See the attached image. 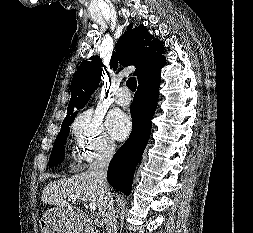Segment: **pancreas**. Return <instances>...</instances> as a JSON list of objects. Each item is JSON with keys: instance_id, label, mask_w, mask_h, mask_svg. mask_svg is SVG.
<instances>
[{"instance_id": "cf45deb5", "label": "pancreas", "mask_w": 253, "mask_h": 233, "mask_svg": "<svg viewBox=\"0 0 253 233\" xmlns=\"http://www.w3.org/2000/svg\"><path fill=\"white\" fill-rule=\"evenodd\" d=\"M94 230V233H99V231L95 228L93 229Z\"/></svg>"}]
</instances>
